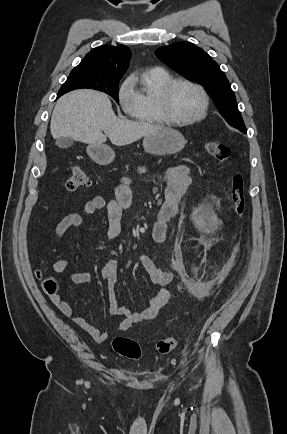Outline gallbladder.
I'll return each instance as SVG.
<instances>
[{"label": "gallbladder", "instance_id": "bac80fb5", "mask_svg": "<svg viewBox=\"0 0 287 434\" xmlns=\"http://www.w3.org/2000/svg\"><path fill=\"white\" fill-rule=\"evenodd\" d=\"M73 143H74V140L68 136L60 137V138L56 139V142H55V144L59 148H69L73 145Z\"/></svg>", "mask_w": 287, "mask_h": 434}]
</instances>
